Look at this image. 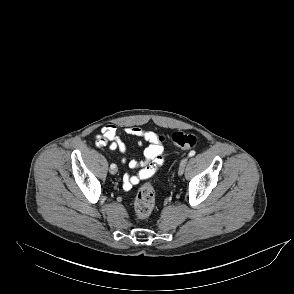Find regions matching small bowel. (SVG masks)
<instances>
[{
    "label": "small bowel",
    "instance_id": "c3829d8e",
    "mask_svg": "<svg viewBox=\"0 0 294 294\" xmlns=\"http://www.w3.org/2000/svg\"><path fill=\"white\" fill-rule=\"evenodd\" d=\"M123 131L131 137L138 140L143 139L149 143L144 150V161L138 162L136 160H130L128 163L130 168L141 167L136 174H125L123 176V187L124 189L129 190L141 181L153 176L158 167L163 164V137L160 134L145 130L139 126L125 127ZM95 144L97 147L108 146L111 150H116L123 156H125L128 151V146L120 138L118 128L114 124H107L102 127L100 134L95 137ZM122 161L125 163L127 160L123 157Z\"/></svg>",
    "mask_w": 294,
    "mask_h": 294
}]
</instances>
